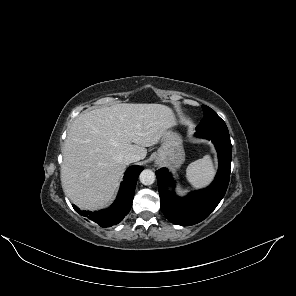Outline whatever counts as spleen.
Masks as SVG:
<instances>
[{
  "label": "spleen",
  "mask_w": 296,
  "mask_h": 296,
  "mask_svg": "<svg viewBox=\"0 0 296 296\" xmlns=\"http://www.w3.org/2000/svg\"><path fill=\"white\" fill-rule=\"evenodd\" d=\"M215 173L214 165L209 155L198 159L186 169V178L188 182L195 188L207 185L213 178Z\"/></svg>",
  "instance_id": "3e777b00"
}]
</instances>
